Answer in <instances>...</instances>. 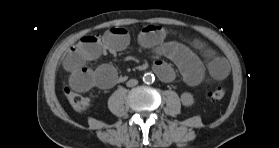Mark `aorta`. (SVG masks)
I'll list each match as a JSON object with an SVG mask.
<instances>
[{
    "instance_id": "aorta-1",
    "label": "aorta",
    "mask_w": 279,
    "mask_h": 148,
    "mask_svg": "<svg viewBox=\"0 0 279 148\" xmlns=\"http://www.w3.org/2000/svg\"><path fill=\"white\" fill-rule=\"evenodd\" d=\"M154 80H155V77H154V75L151 74V73H146V74L143 76V82H144L145 84H151V83L154 82Z\"/></svg>"
}]
</instances>
